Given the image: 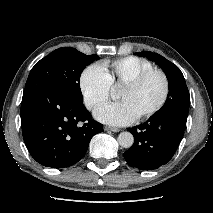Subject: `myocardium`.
Listing matches in <instances>:
<instances>
[{
    "label": "myocardium",
    "instance_id": "obj_1",
    "mask_svg": "<svg viewBox=\"0 0 213 213\" xmlns=\"http://www.w3.org/2000/svg\"><path fill=\"white\" fill-rule=\"evenodd\" d=\"M151 75H159L161 77L163 81V93L160 99L158 100V102L154 106L146 110L145 112L138 115L137 119H145L152 116L157 111H159L163 107V105L166 103L169 96V92H170V82H169L168 76L163 70L152 68L139 73L138 75H136L135 77L131 78L130 80H128L127 82L123 84V87L135 88L139 86L141 83H143Z\"/></svg>",
    "mask_w": 213,
    "mask_h": 213
}]
</instances>
